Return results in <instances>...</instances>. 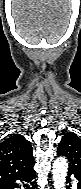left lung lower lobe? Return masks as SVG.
Here are the masks:
<instances>
[{"label": "left lung lower lobe", "mask_w": 81, "mask_h": 189, "mask_svg": "<svg viewBox=\"0 0 81 189\" xmlns=\"http://www.w3.org/2000/svg\"><path fill=\"white\" fill-rule=\"evenodd\" d=\"M68 175H69V177L71 176V174H68ZM77 179L79 180L78 189H81V179L80 178H77Z\"/></svg>", "instance_id": "obj_1"}]
</instances>
